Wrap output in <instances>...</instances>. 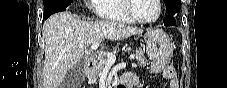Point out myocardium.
I'll return each instance as SVG.
<instances>
[{"label":"myocardium","mask_w":227,"mask_h":88,"mask_svg":"<svg viewBox=\"0 0 227 88\" xmlns=\"http://www.w3.org/2000/svg\"><path fill=\"white\" fill-rule=\"evenodd\" d=\"M157 8H158V14L155 18L150 19V20H143V19H139L137 18L132 10V5L134 0H126L124 3V10L126 12V14L128 15V17L134 22V23H138V24H152L155 23L156 21L159 20L161 14H162V7H161V2L160 0H154Z\"/></svg>","instance_id":"obj_1"}]
</instances>
